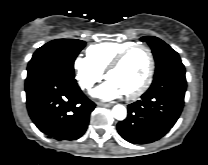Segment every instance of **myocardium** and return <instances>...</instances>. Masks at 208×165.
Segmentation results:
<instances>
[{
  "instance_id": "f54148a6",
  "label": "myocardium",
  "mask_w": 208,
  "mask_h": 165,
  "mask_svg": "<svg viewBox=\"0 0 208 165\" xmlns=\"http://www.w3.org/2000/svg\"><path fill=\"white\" fill-rule=\"evenodd\" d=\"M139 48L144 49L148 54V58H149L148 72L146 74L145 79L143 80V82L141 83V85L139 87H137L135 90H133L129 93L124 94L125 98H127V99H134V98H137L138 96L142 95L149 88V86L152 82L154 71H155V59H154V55H153L151 48L143 43H134V44L126 47L122 51H120L115 56V58L109 63L107 68L105 69V76L108 78V75L112 70L119 67L122 64V62L125 60V58L131 52H133L134 50L139 49Z\"/></svg>"
}]
</instances>
